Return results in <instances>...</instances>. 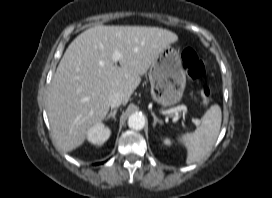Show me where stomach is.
Segmentation results:
<instances>
[{
	"label": "stomach",
	"instance_id": "1",
	"mask_svg": "<svg viewBox=\"0 0 272 198\" xmlns=\"http://www.w3.org/2000/svg\"><path fill=\"white\" fill-rule=\"evenodd\" d=\"M149 80L151 95L163 107L173 106L182 99L186 75L177 50L165 47L153 60Z\"/></svg>",
	"mask_w": 272,
	"mask_h": 198
}]
</instances>
